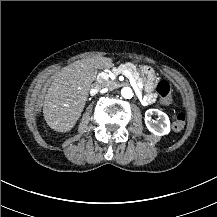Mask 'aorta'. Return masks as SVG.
<instances>
[{"instance_id":"aorta-1","label":"aorta","mask_w":217,"mask_h":217,"mask_svg":"<svg viewBox=\"0 0 217 217\" xmlns=\"http://www.w3.org/2000/svg\"><path fill=\"white\" fill-rule=\"evenodd\" d=\"M121 95L125 99H131L133 97V91L130 87H123L121 89Z\"/></svg>"}]
</instances>
